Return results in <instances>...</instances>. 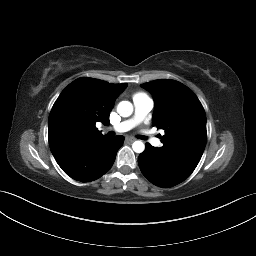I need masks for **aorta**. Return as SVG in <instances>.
<instances>
[{
	"instance_id": "aorta-1",
	"label": "aorta",
	"mask_w": 256,
	"mask_h": 256,
	"mask_svg": "<svg viewBox=\"0 0 256 256\" xmlns=\"http://www.w3.org/2000/svg\"><path fill=\"white\" fill-rule=\"evenodd\" d=\"M117 112L122 117H129L133 113V105L129 101H121L117 106ZM132 149L136 153H142L145 149V144L142 141H135L132 144Z\"/></svg>"
}]
</instances>
